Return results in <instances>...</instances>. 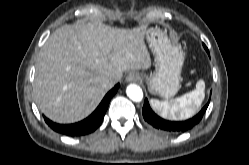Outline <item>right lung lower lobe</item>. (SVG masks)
<instances>
[{"label":"right lung lower lobe","mask_w":249,"mask_h":165,"mask_svg":"<svg viewBox=\"0 0 249 165\" xmlns=\"http://www.w3.org/2000/svg\"><path fill=\"white\" fill-rule=\"evenodd\" d=\"M117 84L113 89H111L106 96L103 98L96 110L86 119L68 125L57 124L44 117L45 122L56 132L68 135V136H80L86 135L95 131L103 121L104 115L108 108L111 98L115 95L119 88Z\"/></svg>","instance_id":"1"}]
</instances>
